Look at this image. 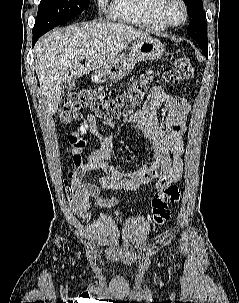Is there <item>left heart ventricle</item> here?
I'll use <instances>...</instances> for the list:
<instances>
[{
  "label": "left heart ventricle",
  "mask_w": 239,
  "mask_h": 303,
  "mask_svg": "<svg viewBox=\"0 0 239 303\" xmlns=\"http://www.w3.org/2000/svg\"><path fill=\"white\" fill-rule=\"evenodd\" d=\"M164 12L173 23H179L183 19L182 6L176 0H169L165 5Z\"/></svg>",
  "instance_id": "obj_1"
}]
</instances>
